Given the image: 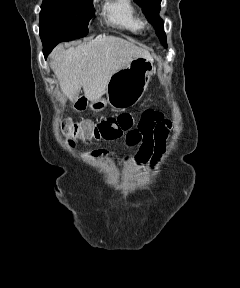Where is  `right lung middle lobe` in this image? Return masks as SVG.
<instances>
[{
  "instance_id": "dd1d6c3e",
  "label": "right lung middle lobe",
  "mask_w": 240,
  "mask_h": 288,
  "mask_svg": "<svg viewBox=\"0 0 240 288\" xmlns=\"http://www.w3.org/2000/svg\"><path fill=\"white\" fill-rule=\"evenodd\" d=\"M92 6V0H44L39 23L43 47L86 36Z\"/></svg>"
}]
</instances>
